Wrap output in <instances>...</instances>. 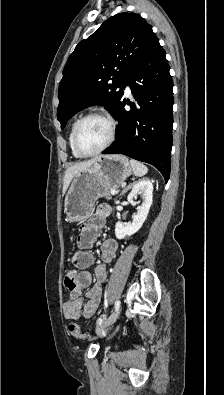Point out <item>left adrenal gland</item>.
<instances>
[{"label": "left adrenal gland", "mask_w": 224, "mask_h": 395, "mask_svg": "<svg viewBox=\"0 0 224 395\" xmlns=\"http://www.w3.org/2000/svg\"><path fill=\"white\" fill-rule=\"evenodd\" d=\"M130 187H131V185H129L128 187H126V188L122 191L121 195H123L124 193H126V192L128 191V189H130Z\"/></svg>", "instance_id": "obj_1"}]
</instances>
